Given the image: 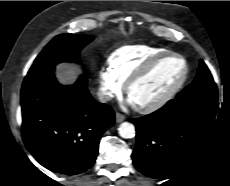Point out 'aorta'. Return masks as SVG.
<instances>
[{"label": "aorta", "instance_id": "obj_1", "mask_svg": "<svg viewBox=\"0 0 230 186\" xmlns=\"http://www.w3.org/2000/svg\"><path fill=\"white\" fill-rule=\"evenodd\" d=\"M119 135L122 138L129 139L135 136V127L129 122H123L118 128Z\"/></svg>", "mask_w": 230, "mask_h": 186}]
</instances>
